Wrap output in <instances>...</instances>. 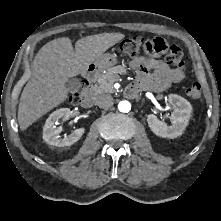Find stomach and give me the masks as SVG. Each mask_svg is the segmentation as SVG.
I'll return each instance as SVG.
<instances>
[{
	"label": "stomach",
	"instance_id": "0dacf381",
	"mask_svg": "<svg viewBox=\"0 0 221 221\" xmlns=\"http://www.w3.org/2000/svg\"><path fill=\"white\" fill-rule=\"evenodd\" d=\"M117 63V58L110 54V53H106L101 55L96 61H95V66L99 69V70H106L109 69L111 66L115 65Z\"/></svg>",
	"mask_w": 221,
	"mask_h": 221
}]
</instances>
